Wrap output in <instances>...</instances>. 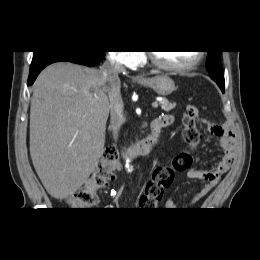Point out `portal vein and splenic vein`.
Wrapping results in <instances>:
<instances>
[{"label": "portal vein and splenic vein", "instance_id": "1", "mask_svg": "<svg viewBox=\"0 0 260 260\" xmlns=\"http://www.w3.org/2000/svg\"><path fill=\"white\" fill-rule=\"evenodd\" d=\"M158 105H159V104H158V102H157V101H155V102H153V103H152V107H153V108H157V107H158Z\"/></svg>", "mask_w": 260, "mask_h": 260}]
</instances>
